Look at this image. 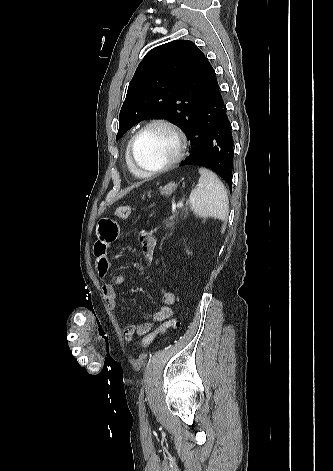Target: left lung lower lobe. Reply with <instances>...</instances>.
<instances>
[{
    "label": "left lung lower lobe",
    "instance_id": "left-lung-lower-lobe-1",
    "mask_svg": "<svg viewBox=\"0 0 333 471\" xmlns=\"http://www.w3.org/2000/svg\"><path fill=\"white\" fill-rule=\"evenodd\" d=\"M187 138L191 141V154L180 166L194 164L209 167L232 188V130L216 75Z\"/></svg>",
    "mask_w": 333,
    "mask_h": 471
}]
</instances>
